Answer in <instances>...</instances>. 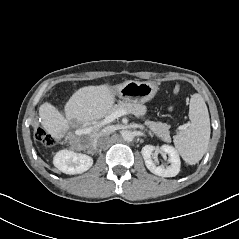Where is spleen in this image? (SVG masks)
Here are the masks:
<instances>
[{"label":"spleen","instance_id":"obj_1","mask_svg":"<svg viewBox=\"0 0 239 239\" xmlns=\"http://www.w3.org/2000/svg\"><path fill=\"white\" fill-rule=\"evenodd\" d=\"M189 119L188 128L174 137V144L183 160L193 165L201 160L210 140L208 108L200 94L191 96Z\"/></svg>","mask_w":239,"mask_h":239}]
</instances>
